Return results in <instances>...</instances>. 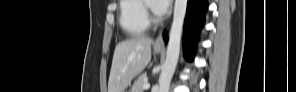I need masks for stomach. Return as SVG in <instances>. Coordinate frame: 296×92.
Wrapping results in <instances>:
<instances>
[{
	"instance_id": "obj_1",
	"label": "stomach",
	"mask_w": 296,
	"mask_h": 92,
	"mask_svg": "<svg viewBox=\"0 0 296 92\" xmlns=\"http://www.w3.org/2000/svg\"><path fill=\"white\" fill-rule=\"evenodd\" d=\"M160 48H154V51L156 52V53H159L160 52Z\"/></svg>"
}]
</instances>
